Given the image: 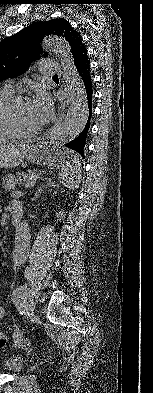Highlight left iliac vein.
Wrapping results in <instances>:
<instances>
[{
    "label": "left iliac vein",
    "mask_w": 153,
    "mask_h": 393,
    "mask_svg": "<svg viewBox=\"0 0 153 393\" xmlns=\"http://www.w3.org/2000/svg\"><path fill=\"white\" fill-rule=\"evenodd\" d=\"M26 308H27V310H29V311H33V304L32 303H28L27 305H26Z\"/></svg>",
    "instance_id": "1"
}]
</instances>
